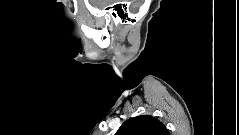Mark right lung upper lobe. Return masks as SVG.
<instances>
[{"mask_svg":"<svg viewBox=\"0 0 239 135\" xmlns=\"http://www.w3.org/2000/svg\"><path fill=\"white\" fill-rule=\"evenodd\" d=\"M115 135H169L165 125L151 115L126 120Z\"/></svg>","mask_w":239,"mask_h":135,"instance_id":"right-lung-upper-lobe-1","label":"right lung upper lobe"}]
</instances>
